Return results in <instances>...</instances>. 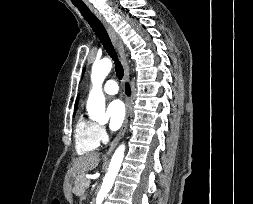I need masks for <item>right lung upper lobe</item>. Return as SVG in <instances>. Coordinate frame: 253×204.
Segmentation results:
<instances>
[{
	"instance_id": "1",
	"label": "right lung upper lobe",
	"mask_w": 253,
	"mask_h": 204,
	"mask_svg": "<svg viewBox=\"0 0 253 204\" xmlns=\"http://www.w3.org/2000/svg\"><path fill=\"white\" fill-rule=\"evenodd\" d=\"M77 100H78V98H77ZM77 102H78V101H76V104H77ZM75 110H76V108H75Z\"/></svg>"
}]
</instances>
